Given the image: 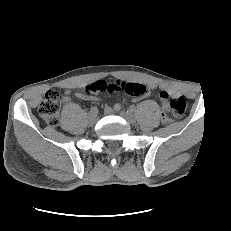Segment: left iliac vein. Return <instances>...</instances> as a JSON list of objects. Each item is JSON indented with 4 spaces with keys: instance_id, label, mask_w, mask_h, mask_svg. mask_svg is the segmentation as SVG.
Segmentation results:
<instances>
[{
    "instance_id": "1",
    "label": "left iliac vein",
    "mask_w": 231,
    "mask_h": 231,
    "mask_svg": "<svg viewBox=\"0 0 231 231\" xmlns=\"http://www.w3.org/2000/svg\"><path fill=\"white\" fill-rule=\"evenodd\" d=\"M120 116L123 117L130 124H134L136 121L135 117L130 112L122 111L120 112Z\"/></svg>"
}]
</instances>
